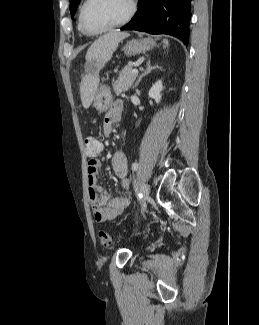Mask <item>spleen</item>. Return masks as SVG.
<instances>
[{"label": "spleen", "mask_w": 259, "mask_h": 325, "mask_svg": "<svg viewBox=\"0 0 259 325\" xmlns=\"http://www.w3.org/2000/svg\"><path fill=\"white\" fill-rule=\"evenodd\" d=\"M163 43H164V46H165V47H167V46L169 45V42H168V40H166V39L163 40Z\"/></svg>", "instance_id": "3e777b00"}]
</instances>
